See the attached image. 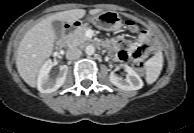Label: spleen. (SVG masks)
Returning <instances> with one entry per match:
<instances>
[{"mask_svg":"<svg viewBox=\"0 0 194 133\" xmlns=\"http://www.w3.org/2000/svg\"><path fill=\"white\" fill-rule=\"evenodd\" d=\"M163 67V56L160 51H158L153 57H151L145 64V79L147 84L154 83L162 70Z\"/></svg>","mask_w":194,"mask_h":133,"instance_id":"spleen-1","label":"spleen"}]
</instances>
